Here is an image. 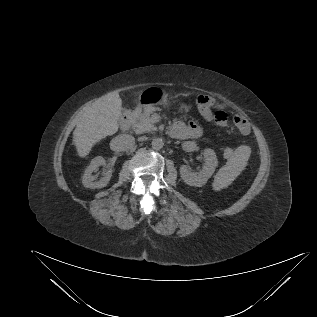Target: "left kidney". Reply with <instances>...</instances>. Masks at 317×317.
I'll use <instances>...</instances> for the list:
<instances>
[{
  "instance_id": "left-kidney-1",
  "label": "left kidney",
  "mask_w": 317,
  "mask_h": 317,
  "mask_svg": "<svg viewBox=\"0 0 317 317\" xmlns=\"http://www.w3.org/2000/svg\"><path fill=\"white\" fill-rule=\"evenodd\" d=\"M203 155L205 163L198 174L190 172L186 165L180 167V176L187 185L202 187L215 172L218 165L215 152L208 148L204 150Z\"/></svg>"
}]
</instances>
